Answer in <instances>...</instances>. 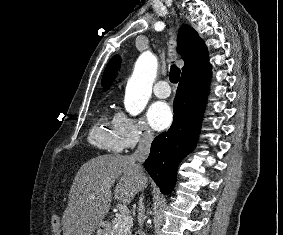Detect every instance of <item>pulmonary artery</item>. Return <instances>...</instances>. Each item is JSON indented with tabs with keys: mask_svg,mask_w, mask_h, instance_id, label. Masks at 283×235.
Listing matches in <instances>:
<instances>
[{
	"mask_svg": "<svg viewBox=\"0 0 283 235\" xmlns=\"http://www.w3.org/2000/svg\"><path fill=\"white\" fill-rule=\"evenodd\" d=\"M153 93L158 98H167L171 94V89L168 86V82L161 80L157 82L153 88Z\"/></svg>",
	"mask_w": 283,
	"mask_h": 235,
	"instance_id": "pulmonary-artery-1",
	"label": "pulmonary artery"
}]
</instances>
